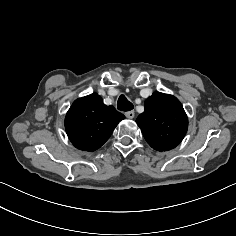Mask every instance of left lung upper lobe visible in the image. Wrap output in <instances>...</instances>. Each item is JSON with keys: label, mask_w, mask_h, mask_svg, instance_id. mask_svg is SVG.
<instances>
[{"label": "left lung upper lobe", "mask_w": 236, "mask_h": 236, "mask_svg": "<svg viewBox=\"0 0 236 236\" xmlns=\"http://www.w3.org/2000/svg\"><path fill=\"white\" fill-rule=\"evenodd\" d=\"M144 108L136 123L148 144L160 152L175 148L188 128V118L179 100L154 92L146 99Z\"/></svg>", "instance_id": "1"}]
</instances>
